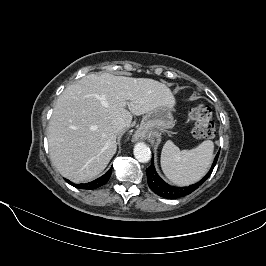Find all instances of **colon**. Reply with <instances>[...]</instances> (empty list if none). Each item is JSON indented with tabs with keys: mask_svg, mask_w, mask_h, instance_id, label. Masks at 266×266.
I'll list each match as a JSON object with an SVG mask.
<instances>
[{
	"mask_svg": "<svg viewBox=\"0 0 266 266\" xmlns=\"http://www.w3.org/2000/svg\"><path fill=\"white\" fill-rule=\"evenodd\" d=\"M190 118L195 122L193 135L199 139H210L215 135V125L211 109L205 105L191 108Z\"/></svg>",
	"mask_w": 266,
	"mask_h": 266,
	"instance_id": "colon-1",
	"label": "colon"
}]
</instances>
